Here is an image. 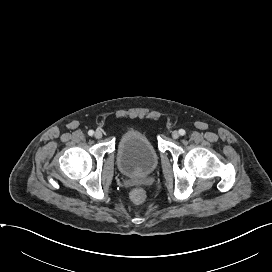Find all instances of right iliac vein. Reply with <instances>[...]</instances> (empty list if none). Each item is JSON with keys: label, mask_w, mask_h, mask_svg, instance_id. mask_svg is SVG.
<instances>
[{"label": "right iliac vein", "mask_w": 272, "mask_h": 272, "mask_svg": "<svg viewBox=\"0 0 272 272\" xmlns=\"http://www.w3.org/2000/svg\"><path fill=\"white\" fill-rule=\"evenodd\" d=\"M94 136H95L96 139H101L102 138V132L96 131Z\"/></svg>", "instance_id": "63e3f726"}]
</instances>
